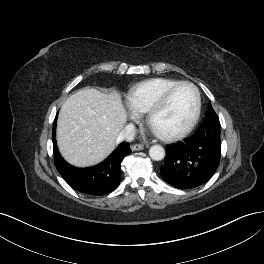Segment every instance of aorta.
<instances>
[{
  "label": "aorta",
  "mask_w": 264,
  "mask_h": 264,
  "mask_svg": "<svg viewBox=\"0 0 264 264\" xmlns=\"http://www.w3.org/2000/svg\"><path fill=\"white\" fill-rule=\"evenodd\" d=\"M149 156L155 161H160L165 157V150L160 145H153L149 149Z\"/></svg>",
  "instance_id": "1"
}]
</instances>
